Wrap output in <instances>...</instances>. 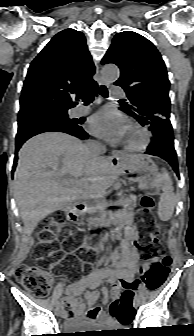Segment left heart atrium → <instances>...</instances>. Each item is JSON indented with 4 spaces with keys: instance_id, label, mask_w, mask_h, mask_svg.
I'll use <instances>...</instances> for the list:
<instances>
[{
    "instance_id": "39dd6f15",
    "label": "left heart atrium",
    "mask_w": 194,
    "mask_h": 336,
    "mask_svg": "<svg viewBox=\"0 0 194 336\" xmlns=\"http://www.w3.org/2000/svg\"><path fill=\"white\" fill-rule=\"evenodd\" d=\"M88 128L95 136L110 142H119L124 139L127 122L120 112L104 108L90 118Z\"/></svg>"
}]
</instances>
